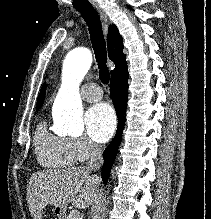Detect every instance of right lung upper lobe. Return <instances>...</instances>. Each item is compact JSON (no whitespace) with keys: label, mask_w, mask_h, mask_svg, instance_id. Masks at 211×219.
I'll return each mask as SVG.
<instances>
[{"label":"right lung upper lobe","mask_w":211,"mask_h":219,"mask_svg":"<svg viewBox=\"0 0 211 219\" xmlns=\"http://www.w3.org/2000/svg\"><path fill=\"white\" fill-rule=\"evenodd\" d=\"M108 56L111 61L115 63L114 70L111 71V76L127 67L126 55L123 53V39L119 34L115 25H110L107 35ZM46 85L41 88V92L38 99L37 108L43 104L45 96Z\"/></svg>","instance_id":"cb5924a9"}]
</instances>
